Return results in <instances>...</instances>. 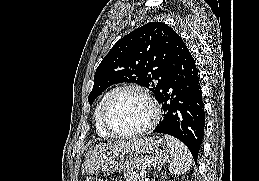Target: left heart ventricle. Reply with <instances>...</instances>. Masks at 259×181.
Returning <instances> with one entry per match:
<instances>
[{"instance_id": "left-heart-ventricle-1", "label": "left heart ventricle", "mask_w": 259, "mask_h": 181, "mask_svg": "<svg viewBox=\"0 0 259 181\" xmlns=\"http://www.w3.org/2000/svg\"><path fill=\"white\" fill-rule=\"evenodd\" d=\"M151 118L145 98L136 91H125L113 101L108 114L111 127L118 132H132L144 127Z\"/></svg>"}]
</instances>
